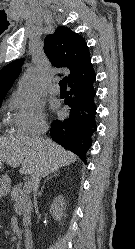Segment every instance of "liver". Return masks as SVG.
Segmentation results:
<instances>
[{
  "mask_svg": "<svg viewBox=\"0 0 135 249\" xmlns=\"http://www.w3.org/2000/svg\"><path fill=\"white\" fill-rule=\"evenodd\" d=\"M76 160L77 156L51 139L0 137V162L4 161L14 168L21 165L20 173L29 174L31 178L48 176Z\"/></svg>",
  "mask_w": 135,
  "mask_h": 249,
  "instance_id": "obj_1",
  "label": "liver"
}]
</instances>
